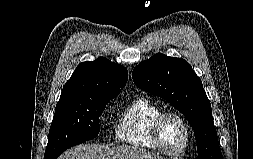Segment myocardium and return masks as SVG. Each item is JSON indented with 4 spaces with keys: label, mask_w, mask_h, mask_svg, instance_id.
Returning a JSON list of instances; mask_svg holds the SVG:
<instances>
[{
    "label": "myocardium",
    "mask_w": 253,
    "mask_h": 159,
    "mask_svg": "<svg viewBox=\"0 0 253 159\" xmlns=\"http://www.w3.org/2000/svg\"><path fill=\"white\" fill-rule=\"evenodd\" d=\"M168 117H174L176 118L183 126L184 132H185V141L182 149L179 152H170L168 151L161 142V125L163 121ZM150 137L153 142V144L156 146L158 150H160L162 153L170 156V157H180L185 154L187 151L189 144H190V128L185 120V118L179 114L178 112L167 110L160 112L155 119L152 121L151 127H150Z\"/></svg>",
    "instance_id": "f54148a6"
}]
</instances>
